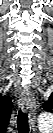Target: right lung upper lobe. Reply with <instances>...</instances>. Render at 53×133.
Returning a JSON list of instances; mask_svg holds the SVG:
<instances>
[{
    "mask_svg": "<svg viewBox=\"0 0 53 133\" xmlns=\"http://www.w3.org/2000/svg\"><path fill=\"white\" fill-rule=\"evenodd\" d=\"M12 113V100L9 97L0 96V125L6 130Z\"/></svg>",
    "mask_w": 53,
    "mask_h": 133,
    "instance_id": "obj_1",
    "label": "right lung upper lobe"
}]
</instances>
